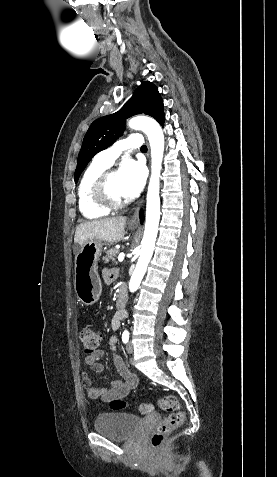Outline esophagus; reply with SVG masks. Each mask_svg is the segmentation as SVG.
Segmentation results:
<instances>
[{
    "instance_id": "esophagus-1",
    "label": "esophagus",
    "mask_w": 277,
    "mask_h": 477,
    "mask_svg": "<svg viewBox=\"0 0 277 477\" xmlns=\"http://www.w3.org/2000/svg\"><path fill=\"white\" fill-rule=\"evenodd\" d=\"M148 157H149V154H148ZM144 203V198H142L137 206L134 208V211H133V214L129 220V223L132 224V225H136L139 223V210L141 209L142 205Z\"/></svg>"
}]
</instances>
